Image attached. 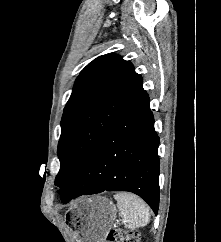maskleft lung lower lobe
Returning <instances> with one entry per match:
<instances>
[{"label": "left lung lower lobe", "mask_w": 221, "mask_h": 242, "mask_svg": "<svg viewBox=\"0 0 221 242\" xmlns=\"http://www.w3.org/2000/svg\"><path fill=\"white\" fill-rule=\"evenodd\" d=\"M159 137L146 93L96 142L61 201L107 191H129L157 214L159 206Z\"/></svg>", "instance_id": "obj_1"}]
</instances>
